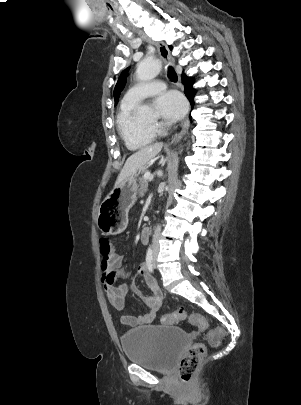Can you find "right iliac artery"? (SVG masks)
<instances>
[{
  "instance_id": "1",
  "label": "right iliac artery",
  "mask_w": 301,
  "mask_h": 405,
  "mask_svg": "<svg viewBox=\"0 0 301 405\" xmlns=\"http://www.w3.org/2000/svg\"><path fill=\"white\" fill-rule=\"evenodd\" d=\"M152 261H153L152 249L149 248L147 250V253H146V265H147L150 272H153V263H152Z\"/></svg>"
}]
</instances>
